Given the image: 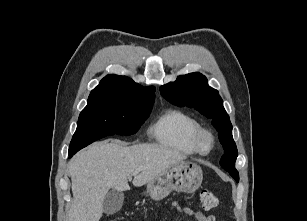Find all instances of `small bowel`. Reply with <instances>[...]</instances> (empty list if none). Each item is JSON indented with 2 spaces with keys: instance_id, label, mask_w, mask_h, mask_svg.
<instances>
[{
  "instance_id": "c3829d8e",
  "label": "small bowel",
  "mask_w": 307,
  "mask_h": 221,
  "mask_svg": "<svg viewBox=\"0 0 307 221\" xmlns=\"http://www.w3.org/2000/svg\"><path fill=\"white\" fill-rule=\"evenodd\" d=\"M172 208L180 214L193 216L197 221H217V218L214 215L206 216L202 211L200 210H194L190 207L183 206L179 203H173Z\"/></svg>"
}]
</instances>
